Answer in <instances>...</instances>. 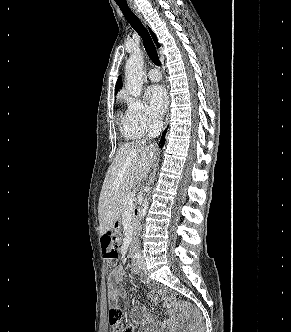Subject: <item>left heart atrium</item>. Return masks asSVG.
Here are the masks:
<instances>
[{"instance_id":"39dd6f15","label":"left heart atrium","mask_w":291,"mask_h":332,"mask_svg":"<svg viewBox=\"0 0 291 332\" xmlns=\"http://www.w3.org/2000/svg\"><path fill=\"white\" fill-rule=\"evenodd\" d=\"M146 97L150 103L153 115L161 117L168 105V97L165 89L160 85L150 86L146 91Z\"/></svg>"}]
</instances>
